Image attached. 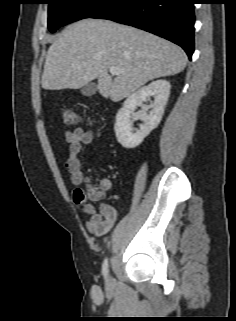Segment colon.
I'll return each instance as SVG.
<instances>
[{
	"mask_svg": "<svg viewBox=\"0 0 236 321\" xmlns=\"http://www.w3.org/2000/svg\"><path fill=\"white\" fill-rule=\"evenodd\" d=\"M63 122L66 125H75L79 122L77 114L70 110L65 109L62 113ZM77 193L84 200H91L101 202L103 201L104 195L100 188L94 184H88L85 188H78Z\"/></svg>",
	"mask_w": 236,
	"mask_h": 321,
	"instance_id": "colon-1",
	"label": "colon"
}]
</instances>
